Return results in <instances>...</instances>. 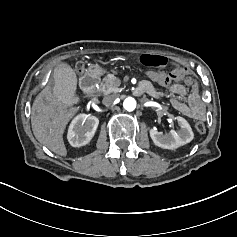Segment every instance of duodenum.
Wrapping results in <instances>:
<instances>
[{
  "instance_id": "obj_1",
  "label": "duodenum",
  "mask_w": 237,
  "mask_h": 237,
  "mask_svg": "<svg viewBox=\"0 0 237 237\" xmlns=\"http://www.w3.org/2000/svg\"><path fill=\"white\" fill-rule=\"evenodd\" d=\"M99 80V71L94 68H88L80 77L79 83L85 94H90L96 87Z\"/></svg>"
}]
</instances>
